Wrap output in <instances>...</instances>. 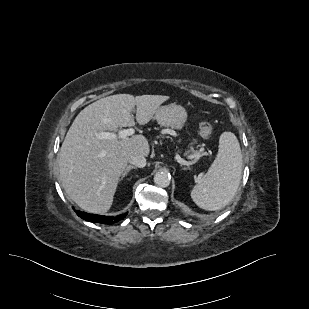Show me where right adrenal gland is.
Returning <instances> with one entry per match:
<instances>
[{"instance_id": "2a0ac1e0", "label": "right adrenal gland", "mask_w": 309, "mask_h": 309, "mask_svg": "<svg viewBox=\"0 0 309 309\" xmlns=\"http://www.w3.org/2000/svg\"><path fill=\"white\" fill-rule=\"evenodd\" d=\"M137 167L132 166V165H128L126 167V169L124 170V172L121 175V178L119 179V181H122L124 179L125 176H127L128 172L131 171L132 169H136Z\"/></svg>"}]
</instances>
